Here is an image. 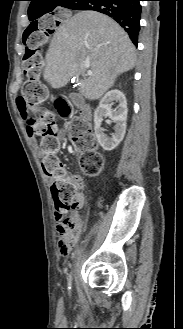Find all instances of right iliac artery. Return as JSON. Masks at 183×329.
Instances as JSON below:
<instances>
[{
	"instance_id": "obj_1",
	"label": "right iliac artery",
	"mask_w": 183,
	"mask_h": 329,
	"mask_svg": "<svg viewBox=\"0 0 183 329\" xmlns=\"http://www.w3.org/2000/svg\"><path fill=\"white\" fill-rule=\"evenodd\" d=\"M68 289H71V276L69 278V286H68Z\"/></svg>"
}]
</instances>
